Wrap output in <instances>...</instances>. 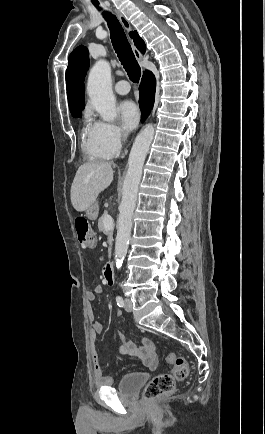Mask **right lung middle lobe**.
<instances>
[{"label": "right lung middle lobe", "instance_id": "obj_1", "mask_svg": "<svg viewBox=\"0 0 265 434\" xmlns=\"http://www.w3.org/2000/svg\"><path fill=\"white\" fill-rule=\"evenodd\" d=\"M73 117H81V111L84 109V102L69 105Z\"/></svg>", "mask_w": 265, "mask_h": 434}]
</instances>
